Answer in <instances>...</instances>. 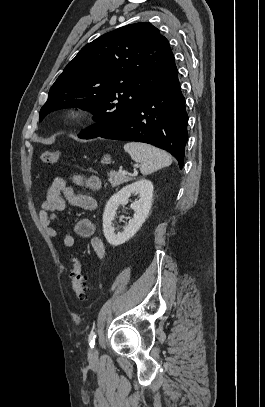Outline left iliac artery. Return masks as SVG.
Returning <instances> with one entry per match:
<instances>
[{"instance_id":"1","label":"left iliac artery","mask_w":265,"mask_h":407,"mask_svg":"<svg viewBox=\"0 0 265 407\" xmlns=\"http://www.w3.org/2000/svg\"><path fill=\"white\" fill-rule=\"evenodd\" d=\"M95 338H96L95 331H91L90 334H89V345H90L91 348H93L94 345H95Z\"/></svg>"}]
</instances>
